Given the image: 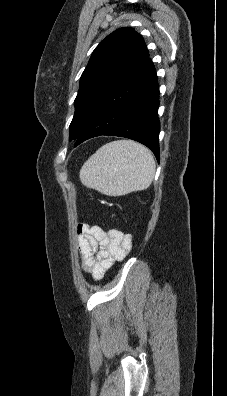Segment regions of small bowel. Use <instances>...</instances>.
<instances>
[{"label":"small bowel","instance_id":"c3829d8e","mask_svg":"<svg viewBox=\"0 0 227 396\" xmlns=\"http://www.w3.org/2000/svg\"><path fill=\"white\" fill-rule=\"evenodd\" d=\"M77 238L82 268L95 280H100L132 248L129 234L117 229L106 231L98 225L79 224Z\"/></svg>","mask_w":227,"mask_h":396}]
</instances>
